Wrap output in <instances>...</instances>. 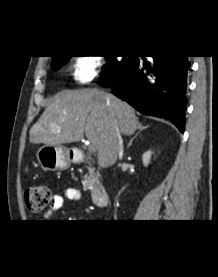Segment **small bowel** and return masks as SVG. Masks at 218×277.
Returning a JSON list of instances; mask_svg holds the SVG:
<instances>
[{
	"instance_id": "1",
	"label": "small bowel",
	"mask_w": 218,
	"mask_h": 277,
	"mask_svg": "<svg viewBox=\"0 0 218 277\" xmlns=\"http://www.w3.org/2000/svg\"><path fill=\"white\" fill-rule=\"evenodd\" d=\"M83 199L82 193L77 188H67L63 194H56L53 196L50 208L46 213V216H50L53 213L61 210L64 206L65 200L81 201Z\"/></svg>"
}]
</instances>
